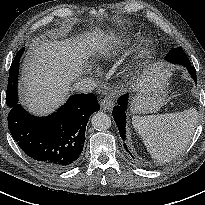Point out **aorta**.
Masks as SVG:
<instances>
[{
	"label": "aorta",
	"mask_w": 205,
	"mask_h": 205,
	"mask_svg": "<svg viewBox=\"0 0 205 205\" xmlns=\"http://www.w3.org/2000/svg\"><path fill=\"white\" fill-rule=\"evenodd\" d=\"M92 126L98 131H105L111 126V118L103 112H97L92 117Z\"/></svg>",
	"instance_id": "762f6f07"
}]
</instances>
